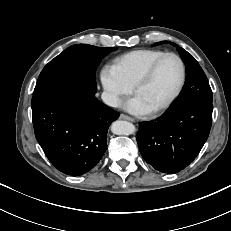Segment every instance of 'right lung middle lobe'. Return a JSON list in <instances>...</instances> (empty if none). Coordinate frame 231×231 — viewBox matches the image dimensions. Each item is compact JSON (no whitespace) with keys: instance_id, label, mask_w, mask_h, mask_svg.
<instances>
[{"instance_id":"obj_1","label":"right lung middle lobe","mask_w":231,"mask_h":231,"mask_svg":"<svg viewBox=\"0 0 231 231\" xmlns=\"http://www.w3.org/2000/svg\"><path fill=\"white\" fill-rule=\"evenodd\" d=\"M116 47L72 45L52 59L38 77L33 95L76 87L96 93L95 73L101 59Z\"/></svg>"}]
</instances>
